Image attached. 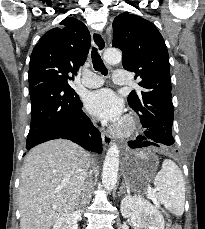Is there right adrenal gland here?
Returning a JSON list of instances; mask_svg holds the SVG:
<instances>
[{"label": "right adrenal gland", "mask_w": 205, "mask_h": 229, "mask_svg": "<svg viewBox=\"0 0 205 229\" xmlns=\"http://www.w3.org/2000/svg\"><path fill=\"white\" fill-rule=\"evenodd\" d=\"M83 204H84V200L81 202L80 206H83Z\"/></svg>", "instance_id": "1"}]
</instances>
